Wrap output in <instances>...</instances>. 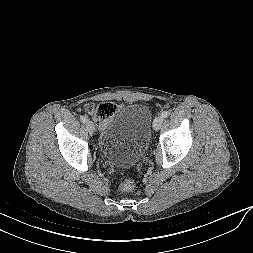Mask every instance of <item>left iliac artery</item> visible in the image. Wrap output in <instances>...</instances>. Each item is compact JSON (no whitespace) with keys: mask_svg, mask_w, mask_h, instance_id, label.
Wrapping results in <instances>:
<instances>
[{"mask_svg":"<svg viewBox=\"0 0 253 253\" xmlns=\"http://www.w3.org/2000/svg\"><path fill=\"white\" fill-rule=\"evenodd\" d=\"M169 115H170V112H169V111H163V112L161 113V116H162L163 118H167V117H169Z\"/></svg>","mask_w":253,"mask_h":253,"instance_id":"obj_1","label":"left iliac artery"}]
</instances>
